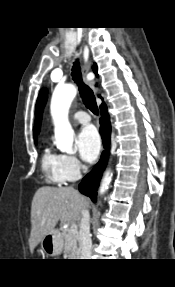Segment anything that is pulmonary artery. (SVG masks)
<instances>
[{
    "label": "pulmonary artery",
    "mask_w": 175,
    "mask_h": 287,
    "mask_svg": "<svg viewBox=\"0 0 175 287\" xmlns=\"http://www.w3.org/2000/svg\"><path fill=\"white\" fill-rule=\"evenodd\" d=\"M73 119L81 124H88L90 122V116L84 111H78L73 115Z\"/></svg>",
    "instance_id": "1"
}]
</instances>
